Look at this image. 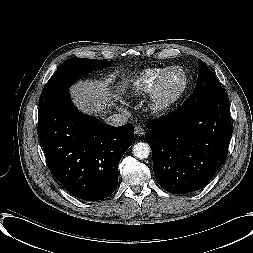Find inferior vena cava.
Wrapping results in <instances>:
<instances>
[{"mask_svg": "<svg viewBox=\"0 0 253 253\" xmlns=\"http://www.w3.org/2000/svg\"><path fill=\"white\" fill-rule=\"evenodd\" d=\"M127 121H128V118L124 114H121V113L112 114L106 119L107 124L111 126H116V127L126 124Z\"/></svg>", "mask_w": 253, "mask_h": 253, "instance_id": "1", "label": "inferior vena cava"}]
</instances>
